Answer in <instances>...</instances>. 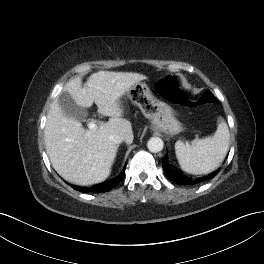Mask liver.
I'll return each mask as SVG.
<instances>
[{"instance_id":"6515ba94","label":"liver","mask_w":264,"mask_h":264,"mask_svg":"<svg viewBox=\"0 0 264 264\" xmlns=\"http://www.w3.org/2000/svg\"><path fill=\"white\" fill-rule=\"evenodd\" d=\"M147 79L139 73L99 71L82 87L81 78L67 82L63 91L83 108L93 102L108 122L95 130H85L75 118L67 117L55 100L47 115L44 130L46 151L53 168L65 180L77 185L102 182L111 172L118 144L109 140L121 135L127 144L133 141L130 121L122 118L120 98L136 83Z\"/></svg>"}]
</instances>
